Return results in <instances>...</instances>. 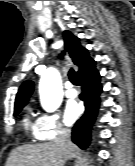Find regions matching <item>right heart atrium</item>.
Returning <instances> with one entry per match:
<instances>
[{
    "label": "right heart atrium",
    "mask_w": 135,
    "mask_h": 166,
    "mask_svg": "<svg viewBox=\"0 0 135 166\" xmlns=\"http://www.w3.org/2000/svg\"><path fill=\"white\" fill-rule=\"evenodd\" d=\"M66 134L57 113H42L36 121V138L38 140H52Z\"/></svg>",
    "instance_id": "obj_1"
}]
</instances>
